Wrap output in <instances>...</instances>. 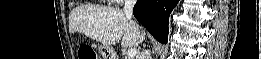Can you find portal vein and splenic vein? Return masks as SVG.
<instances>
[{"mask_svg": "<svg viewBox=\"0 0 261 59\" xmlns=\"http://www.w3.org/2000/svg\"><path fill=\"white\" fill-rule=\"evenodd\" d=\"M136 55H137L136 49H129L127 52V59H134Z\"/></svg>", "mask_w": 261, "mask_h": 59, "instance_id": "18ae733b", "label": "portal vein and splenic vein"}]
</instances>
